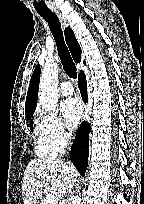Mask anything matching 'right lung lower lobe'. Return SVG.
<instances>
[{
	"label": "right lung lower lobe",
	"mask_w": 144,
	"mask_h": 204,
	"mask_svg": "<svg viewBox=\"0 0 144 204\" xmlns=\"http://www.w3.org/2000/svg\"><path fill=\"white\" fill-rule=\"evenodd\" d=\"M78 85L84 102H87V83L83 72H80L79 74ZM88 153L89 125L86 121H84L77 131L75 140L71 148V161L75 165L81 176L85 175V171L87 169Z\"/></svg>",
	"instance_id": "1"
}]
</instances>
